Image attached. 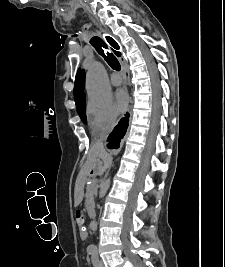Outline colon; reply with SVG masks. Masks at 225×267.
<instances>
[{"label": "colon", "mask_w": 225, "mask_h": 267, "mask_svg": "<svg viewBox=\"0 0 225 267\" xmlns=\"http://www.w3.org/2000/svg\"><path fill=\"white\" fill-rule=\"evenodd\" d=\"M75 221H76V223H77V225H78L79 227H82V226H83V223H84V216H83V214H82L80 211H77V212L75 213Z\"/></svg>", "instance_id": "colon-1"}]
</instances>
